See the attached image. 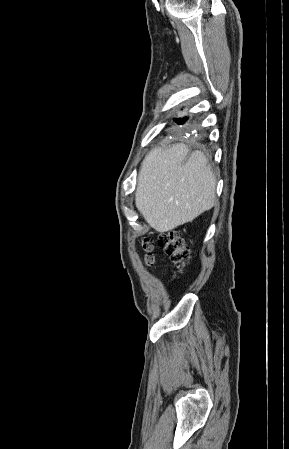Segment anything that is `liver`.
I'll use <instances>...</instances> for the list:
<instances>
[{
	"instance_id": "1",
	"label": "liver",
	"mask_w": 289,
	"mask_h": 449,
	"mask_svg": "<svg viewBox=\"0 0 289 449\" xmlns=\"http://www.w3.org/2000/svg\"><path fill=\"white\" fill-rule=\"evenodd\" d=\"M175 144L155 147L141 164L135 204L160 233L192 222L215 204L216 179L205 155Z\"/></svg>"
}]
</instances>
